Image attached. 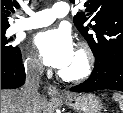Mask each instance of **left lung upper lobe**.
I'll list each match as a JSON object with an SVG mask.
<instances>
[{
    "mask_svg": "<svg viewBox=\"0 0 123 113\" xmlns=\"http://www.w3.org/2000/svg\"><path fill=\"white\" fill-rule=\"evenodd\" d=\"M74 3V0H70ZM74 24L88 42L95 62L106 65L123 54V0H87Z\"/></svg>",
    "mask_w": 123,
    "mask_h": 113,
    "instance_id": "left-lung-upper-lobe-1",
    "label": "left lung upper lobe"
}]
</instances>
